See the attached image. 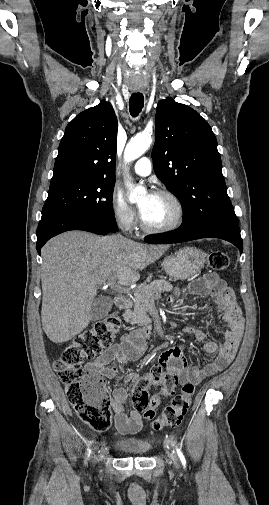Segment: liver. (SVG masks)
<instances>
[{"instance_id": "obj_1", "label": "liver", "mask_w": 269, "mask_h": 505, "mask_svg": "<svg viewBox=\"0 0 269 505\" xmlns=\"http://www.w3.org/2000/svg\"><path fill=\"white\" fill-rule=\"evenodd\" d=\"M166 245H146L120 235L69 231L42 248V327L54 343L69 341L91 320V305L103 284H135L139 271L158 260Z\"/></svg>"}]
</instances>
